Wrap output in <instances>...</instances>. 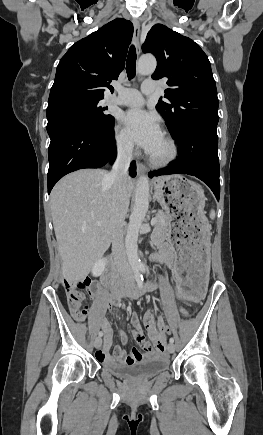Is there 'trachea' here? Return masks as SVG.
Listing matches in <instances>:
<instances>
[{
    "mask_svg": "<svg viewBox=\"0 0 263 435\" xmlns=\"http://www.w3.org/2000/svg\"><path fill=\"white\" fill-rule=\"evenodd\" d=\"M126 72L129 80L133 79L136 75V51L133 45L130 47L127 56Z\"/></svg>",
    "mask_w": 263,
    "mask_h": 435,
    "instance_id": "trachea-1",
    "label": "trachea"
}]
</instances>
